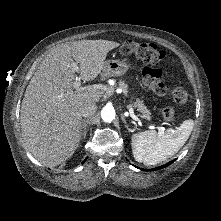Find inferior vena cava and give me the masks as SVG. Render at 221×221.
Listing matches in <instances>:
<instances>
[{
  "label": "inferior vena cava",
  "mask_w": 221,
  "mask_h": 221,
  "mask_svg": "<svg viewBox=\"0 0 221 221\" xmlns=\"http://www.w3.org/2000/svg\"><path fill=\"white\" fill-rule=\"evenodd\" d=\"M96 110H97L96 104L90 102V103L83 105L80 113H81V116L88 118V117L93 116L95 114Z\"/></svg>",
  "instance_id": "obj_1"
}]
</instances>
